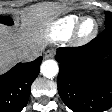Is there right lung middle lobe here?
<instances>
[{"label":"right lung middle lobe","mask_w":112,"mask_h":112,"mask_svg":"<svg viewBox=\"0 0 112 112\" xmlns=\"http://www.w3.org/2000/svg\"><path fill=\"white\" fill-rule=\"evenodd\" d=\"M0 23H3L5 25H12L13 20L9 17H0Z\"/></svg>","instance_id":"1"}]
</instances>
